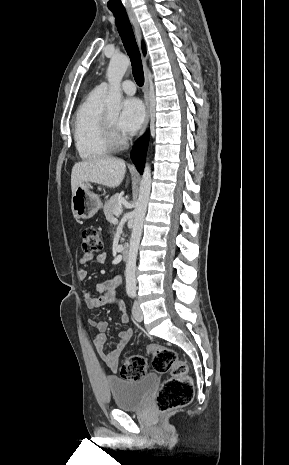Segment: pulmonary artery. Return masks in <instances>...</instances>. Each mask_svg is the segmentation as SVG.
Returning a JSON list of instances; mask_svg holds the SVG:
<instances>
[{"label":"pulmonary artery","instance_id":"obj_1","mask_svg":"<svg viewBox=\"0 0 289 465\" xmlns=\"http://www.w3.org/2000/svg\"><path fill=\"white\" fill-rule=\"evenodd\" d=\"M97 88L106 93L108 91V84L103 82L99 86H97ZM121 88L123 92L126 93L127 95H133L136 91L135 84L131 80H125L122 83Z\"/></svg>","mask_w":289,"mask_h":465}]
</instances>
